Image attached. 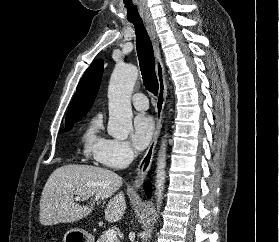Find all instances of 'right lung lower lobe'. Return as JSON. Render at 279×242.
I'll use <instances>...</instances> for the list:
<instances>
[{
    "instance_id": "98d812e1",
    "label": "right lung lower lobe",
    "mask_w": 279,
    "mask_h": 242,
    "mask_svg": "<svg viewBox=\"0 0 279 242\" xmlns=\"http://www.w3.org/2000/svg\"><path fill=\"white\" fill-rule=\"evenodd\" d=\"M145 191H146V195H147L148 197H151V186H150V183H149V182L146 183V185H145Z\"/></svg>"
}]
</instances>
